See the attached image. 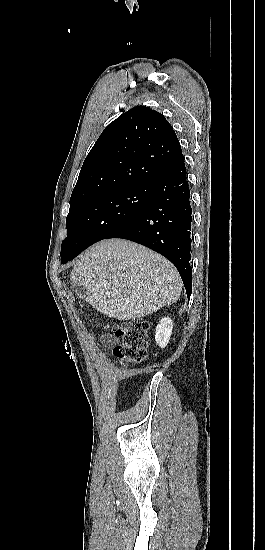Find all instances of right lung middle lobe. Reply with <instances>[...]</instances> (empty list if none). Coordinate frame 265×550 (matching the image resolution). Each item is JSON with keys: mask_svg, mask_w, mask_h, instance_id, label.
<instances>
[{"mask_svg": "<svg viewBox=\"0 0 265 550\" xmlns=\"http://www.w3.org/2000/svg\"><path fill=\"white\" fill-rule=\"evenodd\" d=\"M155 186L141 185L70 204L67 238L62 242L65 264L92 244L133 221L146 207Z\"/></svg>", "mask_w": 265, "mask_h": 550, "instance_id": "1", "label": "right lung middle lobe"}]
</instances>
